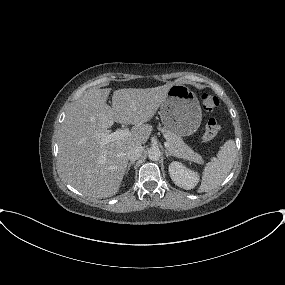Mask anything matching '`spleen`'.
Wrapping results in <instances>:
<instances>
[{
  "label": "spleen",
  "instance_id": "spleen-1",
  "mask_svg": "<svg viewBox=\"0 0 285 285\" xmlns=\"http://www.w3.org/2000/svg\"><path fill=\"white\" fill-rule=\"evenodd\" d=\"M236 155L235 142L227 140L217 153V159L206 164L198 192H209L218 187L231 171Z\"/></svg>",
  "mask_w": 285,
  "mask_h": 285
}]
</instances>
